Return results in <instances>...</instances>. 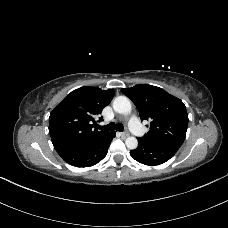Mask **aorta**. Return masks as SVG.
I'll return each instance as SVG.
<instances>
[{
	"mask_svg": "<svg viewBox=\"0 0 228 228\" xmlns=\"http://www.w3.org/2000/svg\"><path fill=\"white\" fill-rule=\"evenodd\" d=\"M113 109L115 112L120 114H130L131 113V102L130 100L125 96H118L113 101ZM125 144L128 149H136L138 146V140L134 136H129L125 140Z\"/></svg>",
	"mask_w": 228,
	"mask_h": 228,
	"instance_id": "obj_1",
	"label": "aorta"
}]
</instances>
